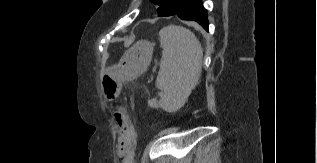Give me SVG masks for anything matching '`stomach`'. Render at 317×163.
Returning <instances> with one entry per match:
<instances>
[{"instance_id":"stomach-1","label":"stomach","mask_w":317,"mask_h":163,"mask_svg":"<svg viewBox=\"0 0 317 163\" xmlns=\"http://www.w3.org/2000/svg\"><path fill=\"white\" fill-rule=\"evenodd\" d=\"M153 54V44L139 41L128 49L119 63L106 69V73L126 80L136 78L149 66Z\"/></svg>"}]
</instances>
